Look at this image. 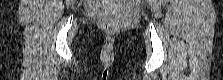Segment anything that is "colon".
Listing matches in <instances>:
<instances>
[{
	"mask_svg": "<svg viewBox=\"0 0 223 80\" xmlns=\"http://www.w3.org/2000/svg\"><path fill=\"white\" fill-rule=\"evenodd\" d=\"M103 29L108 32V33H113L116 31V26L114 24H111V23H104L102 25Z\"/></svg>",
	"mask_w": 223,
	"mask_h": 80,
	"instance_id": "obj_1",
	"label": "colon"
}]
</instances>
